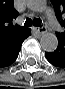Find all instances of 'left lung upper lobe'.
I'll use <instances>...</instances> for the list:
<instances>
[{"label":"left lung upper lobe","instance_id":"obj_1","mask_svg":"<svg viewBox=\"0 0 65 89\" xmlns=\"http://www.w3.org/2000/svg\"><path fill=\"white\" fill-rule=\"evenodd\" d=\"M52 1L55 5L56 15L58 19L61 20L62 26L65 28V0H52ZM57 34H65V31Z\"/></svg>","mask_w":65,"mask_h":89}]
</instances>
